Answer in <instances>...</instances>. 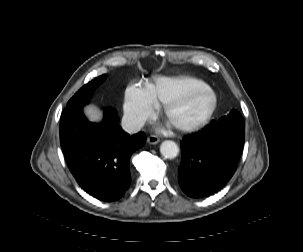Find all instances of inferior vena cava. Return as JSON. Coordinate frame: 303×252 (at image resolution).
I'll list each match as a JSON object with an SVG mask.
<instances>
[{"mask_svg":"<svg viewBox=\"0 0 303 252\" xmlns=\"http://www.w3.org/2000/svg\"><path fill=\"white\" fill-rule=\"evenodd\" d=\"M121 124L125 132L133 134L141 130L144 122L131 116H124Z\"/></svg>","mask_w":303,"mask_h":252,"instance_id":"obj_1","label":"inferior vena cava"}]
</instances>
